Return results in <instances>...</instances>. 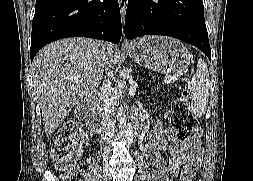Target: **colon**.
Here are the masks:
<instances>
[{"instance_id":"5ec220e1","label":"colon","mask_w":253,"mask_h":181,"mask_svg":"<svg viewBox=\"0 0 253 181\" xmlns=\"http://www.w3.org/2000/svg\"><path fill=\"white\" fill-rule=\"evenodd\" d=\"M170 122L179 140L186 141L194 138L197 120L190 111L187 91H184L182 96L174 101ZM83 141L84 134L76 121H68L60 129L52 147V157L57 167L66 174L73 172L81 153ZM189 169L188 162H181L171 177V181H185Z\"/></svg>"}]
</instances>
